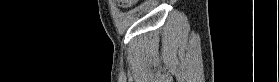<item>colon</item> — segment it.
Returning <instances> with one entry per match:
<instances>
[{"label": "colon", "instance_id": "5ec220e1", "mask_svg": "<svg viewBox=\"0 0 279 82\" xmlns=\"http://www.w3.org/2000/svg\"><path fill=\"white\" fill-rule=\"evenodd\" d=\"M122 4H125L126 6H132L136 0H124V1H120Z\"/></svg>", "mask_w": 279, "mask_h": 82}]
</instances>
